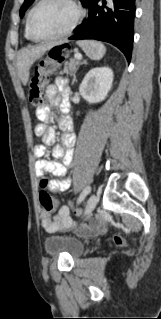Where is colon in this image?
I'll return each mask as SVG.
<instances>
[{"label": "colon", "instance_id": "obj_1", "mask_svg": "<svg viewBox=\"0 0 161 319\" xmlns=\"http://www.w3.org/2000/svg\"><path fill=\"white\" fill-rule=\"evenodd\" d=\"M71 48L68 44H59L49 50V52L40 60L38 66L35 68L34 74L28 84L29 98L33 105L37 106L43 102V90L49 81L50 73L58 68L66 58H68ZM43 187L50 186L52 181L47 178L42 179ZM39 202L42 208L46 211L54 210L58 201L52 198L50 193L42 189L39 194ZM115 242L118 245L124 243L120 237H115Z\"/></svg>", "mask_w": 161, "mask_h": 319}]
</instances>
